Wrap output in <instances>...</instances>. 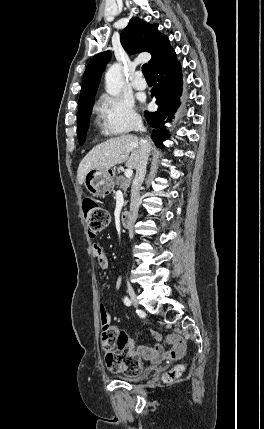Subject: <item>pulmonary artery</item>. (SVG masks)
<instances>
[{
  "label": "pulmonary artery",
  "mask_w": 264,
  "mask_h": 429,
  "mask_svg": "<svg viewBox=\"0 0 264 429\" xmlns=\"http://www.w3.org/2000/svg\"><path fill=\"white\" fill-rule=\"evenodd\" d=\"M133 86L137 90H144L147 87V83L142 77V73L140 71L136 72L135 78L133 81Z\"/></svg>",
  "instance_id": "pulmonary-artery-1"
}]
</instances>
